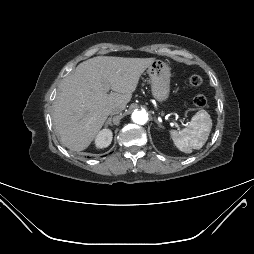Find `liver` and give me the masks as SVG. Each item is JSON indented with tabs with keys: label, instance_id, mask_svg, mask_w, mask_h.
Segmentation results:
<instances>
[{
	"label": "liver",
	"instance_id": "1",
	"mask_svg": "<svg viewBox=\"0 0 254 254\" xmlns=\"http://www.w3.org/2000/svg\"><path fill=\"white\" fill-rule=\"evenodd\" d=\"M154 60L97 56L80 63L61 82L53 105V124L61 143L75 152L86 149L110 109H125L140 76ZM107 87L114 92L107 94Z\"/></svg>",
	"mask_w": 254,
	"mask_h": 254
}]
</instances>
